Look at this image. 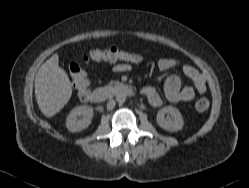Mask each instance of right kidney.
<instances>
[{"instance_id":"obj_1","label":"right kidney","mask_w":249,"mask_h":188,"mask_svg":"<svg viewBox=\"0 0 249 188\" xmlns=\"http://www.w3.org/2000/svg\"><path fill=\"white\" fill-rule=\"evenodd\" d=\"M92 118L93 109L90 106L75 107L66 118V127L70 132H80L89 127Z\"/></svg>"}]
</instances>
